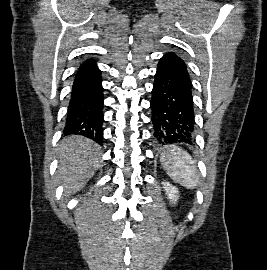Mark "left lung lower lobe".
<instances>
[{"mask_svg":"<svg viewBox=\"0 0 267 270\" xmlns=\"http://www.w3.org/2000/svg\"><path fill=\"white\" fill-rule=\"evenodd\" d=\"M150 107L157 144L192 143L195 121L191 81L184 61L175 53H167L159 61Z\"/></svg>","mask_w":267,"mask_h":270,"instance_id":"0a47b994","label":"left lung lower lobe"}]
</instances>
